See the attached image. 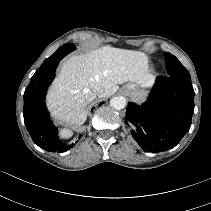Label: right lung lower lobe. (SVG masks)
Instances as JSON below:
<instances>
[{"label":"right lung lower lobe","instance_id":"right-lung-lower-lobe-1","mask_svg":"<svg viewBox=\"0 0 211 211\" xmlns=\"http://www.w3.org/2000/svg\"><path fill=\"white\" fill-rule=\"evenodd\" d=\"M59 61L41 66L32 76L24 93V122L34 143L50 152H65L74 144L62 143L57 128L49 119L45 105L47 88L55 76ZM94 109V108H93Z\"/></svg>","mask_w":211,"mask_h":211}]
</instances>
